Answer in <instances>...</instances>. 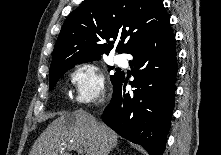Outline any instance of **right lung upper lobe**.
<instances>
[{
    "instance_id": "right-lung-upper-lobe-1",
    "label": "right lung upper lobe",
    "mask_w": 221,
    "mask_h": 155,
    "mask_svg": "<svg viewBox=\"0 0 221 155\" xmlns=\"http://www.w3.org/2000/svg\"><path fill=\"white\" fill-rule=\"evenodd\" d=\"M168 23L161 0H84L63 24L50 71L99 59L114 47L129 53L141 38Z\"/></svg>"
}]
</instances>
